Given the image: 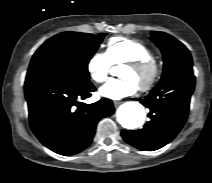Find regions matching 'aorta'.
<instances>
[{
  "instance_id": "762f6f07",
  "label": "aorta",
  "mask_w": 212,
  "mask_h": 183,
  "mask_svg": "<svg viewBox=\"0 0 212 183\" xmlns=\"http://www.w3.org/2000/svg\"><path fill=\"white\" fill-rule=\"evenodd\" d=\"M117 120L127 129L141 127L145 120L144 108L138 102H127L119 107Z\"/></svg>"
}]
</instances>
